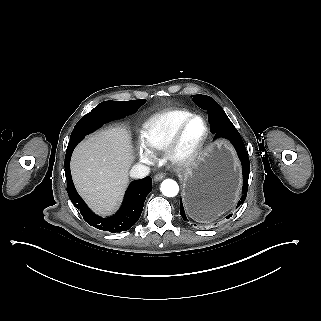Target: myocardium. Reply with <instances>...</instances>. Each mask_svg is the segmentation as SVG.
Masks as SVG:
<instances>
[{
    "mask_svg": "<svg viewBox=\"0 0 321 321\" xmlns=\"http://www.w3.org/2000/svg\"><path fill=\"white\" fill-rule=\"evenodd\" d=\"M195 119L203 123V134L197 144L189 149L184 150L181 147V136L184 129ZM209 137V126L205 118L201 115L193 114L181 121L174 129L166 147L165 157L167 161L176 166H187L194 162L202 153Z\"/></svg>",
    "mask_w": 321,
    "mask_h": 321,
    "instance_id": "myocardium-1",
    "label": "myocardium"
}]
</instances>
